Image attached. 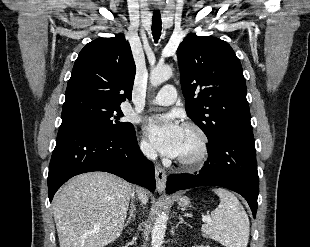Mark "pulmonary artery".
I'll list each match as a JSON object with an SVG mask.
<instances>
[{
	"label": "pulmonary artery",
	"instance_id": "pulmonary-artery-1",
	"mask_svg": "<svg viewBox=\"0 0 310 247\" xmlns=\"http://www.w3.org/2000/svg\"><path fill=\"white\" fill-rule=\"evenodd\" d=\"M176 98V88L173 85H165L150 104L167 106L173 104L176 101Z\"/></svg>",
	"mask_w": 310,
	"mask_h": 247
}]
</instances>
